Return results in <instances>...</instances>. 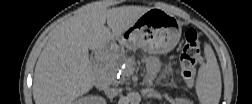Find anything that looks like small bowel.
Masks as SVG:
<instances>
[{"label":"small bowel","mask_w":252,"mask_h":104,"mask_svg":"<svg viewBox=\"0 0 252 104\" xmlns=\"http://www.w3.org/2000/svg\"><path fill=\"white\" fill-rule=\"evenodd\" d=\"M158 71V64L154 59L149 60V74L154 77Z\"/></svg>","instance_id":"obj_1"}]
</instances>
